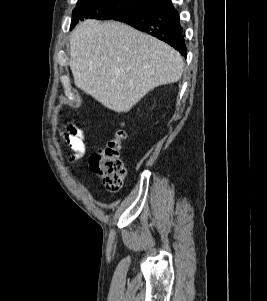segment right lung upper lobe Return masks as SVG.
<instances>
[{
	"label": "right lung upper lobe",
	"mask_w": 267,
	"mask_h": 301,
	"mask_svg": "<svg viewBox=\"0 0 267 301\" xmlns=\"http://www.w3.org/2000/svg\"><path fill=\"white\" fill-rule=\"evenodd\" d=\"M148 3H149V5L150 4H153V3H156V2H160L161 0H146Z\"/></svg>",
	"instance_id": "obj_1"
}]
</instances>
